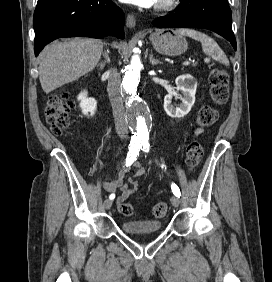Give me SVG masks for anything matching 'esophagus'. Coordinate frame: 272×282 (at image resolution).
I'll return each instance as SVG.
<instances>
[{"label": "esophagus", "instance_id": "34e87169", "mask_svg": "<svg viewBox=\"0 0 272 282\" xmlns=\"http://www.w3.org/2000/svg\"><path fill=\"white\" fill-rule=\"evenodd\" d=\"M126 25L128 28H134L136 25V19L133 15L128 14L127 19H126Z\"/></svg>", "mask_w": 272, "mask_h": 282}]
</instances>
